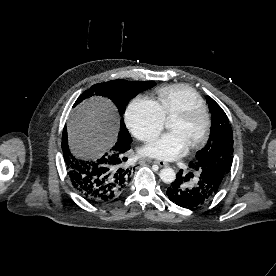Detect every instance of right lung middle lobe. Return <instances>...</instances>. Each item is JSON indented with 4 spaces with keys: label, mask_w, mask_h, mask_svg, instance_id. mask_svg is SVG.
<instances>
[{
    "label": "right lung middle lobe",
    "mask_w": 276,
    "mask_h": 276,
    "mask_svg": "<svg viewBox=\"0 0 276 276\" xmlns=\"http://www.w3.org/2000/svg\"><path fill=\"white\" fill-rule=\"evenodd\" d=\"M155 85L156 83L153 81L130 82L126 80H113L109 82L98 83L83 92L77 99L74 106L89 97L102 96L109 98L118 108L120 115H122L124 114L125 107L130 99L134 98L140 92L148 88H152ZM118 137L119 141L127 142L132 140L123 120H121V128Z\"/></svg>",
    "instance_id": "dd1d6c3e"
}]
</instances>
